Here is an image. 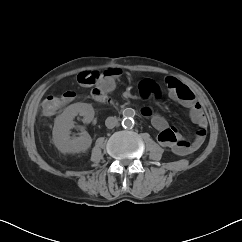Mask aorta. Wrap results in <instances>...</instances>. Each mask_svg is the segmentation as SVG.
Returning a JSON list of instances; mask_svg holds the SVG:
<instances>
[{
	"label": "aorta",
	"instance_id": "762f6f07",
	"mask_svg": "<svg viewBox=\"0 0 242 242\" xmlns=\"http://www.w3.org/2000/svg\"><path fill=\"white\" fill-rule=\"evenodd\" d=\"M135 116V110L132 108H126L123 110V121L122 126L124 128H130L134 124L133 117Z\"/></svg>",
	"mask_w": 242,
	"mask_h": 242
}]
</instances>
